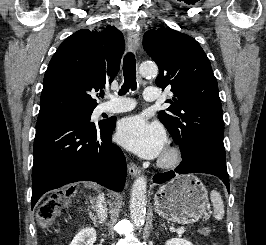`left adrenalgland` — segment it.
I'll return each instance as SVG.
<instances>
[{
    "label": "left adrenal gland",
    "instance_id": "a2214340",
    "mask_svg": "<svg viewBox=\"0 0 266 245\" xmlns=\"http://www.w3.org/2000/svg\"><path fill=\"white\" fill-rule=\"evenodd\" d=\"M162 227H165V223H163ZM165 229H166V227H165Z\"/></svg>",
    "mask_w": 266,
    "mask_h": 245
}]
</instances>
